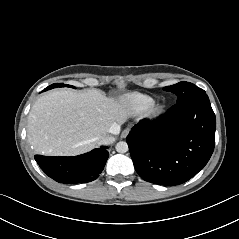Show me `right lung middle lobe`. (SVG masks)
<instances>
[{"mask_svg":"<svg viewBox=\"0 0 239 239\" xmlns=\"http://www.w3.org/2000/svg\"><path fill=\"white\" fill-rule=\"evenodd\" d=\"M64 86L75 88L74 86L65 85L63 83H55V84H52L51 86L47 87L45 90H49V89H52L55 87H64Z\"/></svg>","mask_w":239,"mask_h":239,"instance_id":"right-lung-middle-lobe-1","label":"right lung middle lobe"}]
</instances>
